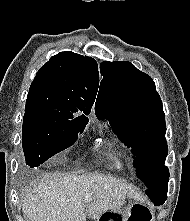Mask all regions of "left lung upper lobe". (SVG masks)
Here are the masks:
<instances>
[{"mask_svg":"<svg viewBox=\"0 0 190 221\" xmlns=\"http://www.w3.org/2000/svg\"><path fill=\"white\" fill-rule=\"evenodd\" d=\"M103 76L95 113L107 119L119 139L134 154L137 176L149 196L169 179L164 166L168 153L162 102L153 79L127 61L102 62Z\"/></svg>","mask_w":190,"mask_h":221,"instance_id":"5c2ea615","label":"left lung upper lobe"}]
</instances>
